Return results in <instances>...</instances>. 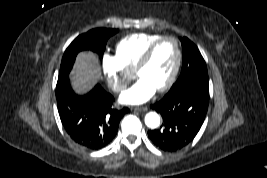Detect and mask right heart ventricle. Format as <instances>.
<instances>
[{
  "instance_id": "1",
  "label": "right heart ventricle",
  "mask_w": 267,
  "mask_h": 178,
  "mask_svg": "<svg viewBox=\"0 0 267 178\" xmlns=\"http://www.w3.org/2000/svg\"><path fill=\"white\" fill-rule=\"evenodd\" d=\"M162 37L157 33H134L122 38L116 45V57L129 71H134L146 49Z\"/></svg>"
}]
</instances>
